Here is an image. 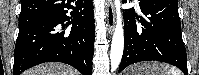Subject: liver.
I'll return each instance as SVG.
<instances>
[{
  "instance_id": "6515ba94",
  "label": "liver",
  "mask_w": 199,
  "mask_h": 75,
  "mask_svg": "<svg viewBox=\"0 0 199 75\" xmlns=\"http://www.w3.org/2000/svg\"><path fill=\"white\" fill-rule=\"evenodd\" d=\"M23 75H79V72L71 66L51 62L27 70Z\"/></svg>"
}]
</instances>
